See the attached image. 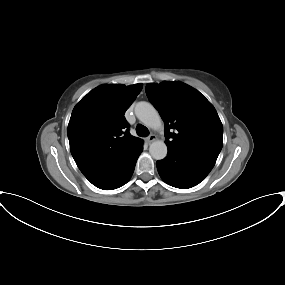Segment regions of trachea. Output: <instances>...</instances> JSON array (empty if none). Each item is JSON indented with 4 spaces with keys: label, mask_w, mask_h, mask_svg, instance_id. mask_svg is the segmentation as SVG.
<instances>
[{
    "label": "trachea",
    "mask_w": 285,
    "mask_h": 285,
    "mask_svg": "<svg viewBox=\"0 0 285 285\" xmlns=\"http://www.w3.org/2000/svg\"><path fill=\"white\" fill-rule=\"evenodd\" d=\"M136 132L140 137H147L149 135V130L143 125H137Z\"/></svg>",
    "instance_id": "1"
}]
</instances>
